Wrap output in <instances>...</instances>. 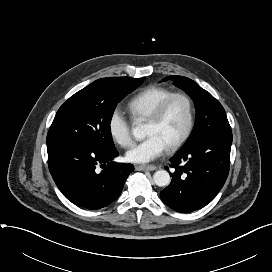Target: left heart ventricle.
I'll use <instances>...</instances> for the list:
<instances>
[{"label":"left heart ventricle","mask_w":272,"mask_h":272,"mask_svg":"<svg viewBox=\"0 0 272 272\" xmlns=\"http://www.w3.org/2000/svg\"><path fill=\"white\" fill-rule=\"evenodd\" d=\"M186 123V103L184 100L177 98L171 102L161 120L158 122H147L146 134L147 136H159L168 147L182 135Z\"/></svg>","instance_id":"b2bd125f"}]
</instances>
